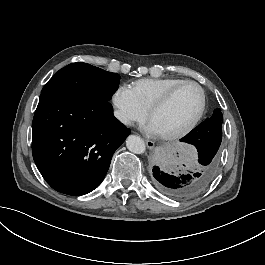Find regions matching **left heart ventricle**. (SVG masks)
<instances>
[{
    "label": "left heart ventricle",
    "mask_w": 265,
    "mask_h": 265,
    "mask_svg": "<svg viewBox=\"0 0 265 265\" xmlns=\"http://www.w3.org/2000/svg\"><path fill=\"white\" fill-rule=\"evenodd\" d=\"M201 94L194 85L183 86L173 98L150 118L160 136L181 130L197 114Z\"/></svg>",
    "instance_id": "obj_1"
}]
</instances>
